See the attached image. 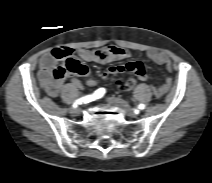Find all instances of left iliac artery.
Listing matches in <instances>:
<instances>
[{
	"label": "left iliac artery",
	"instance_id": "44dca946",
	"mask_svg": "<svg viewBox=\"0 0 212 183\" xmlns=\"http://www.w3.org/2000/svg\"><path fill=\"white\" fill-rule=\"evenodd\" d=\"M138 108L141 109V110H143V109H145V105L144 104H139L138 105Z\"/></svg>",
	"mask_w": 212,
	"mask_h": 183
}]
</instances>
